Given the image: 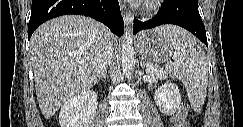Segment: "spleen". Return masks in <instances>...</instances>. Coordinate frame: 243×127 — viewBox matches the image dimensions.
I'll list each match as a JSON object with an SVG mask.
<instances>
[{
  "label": "spleen",
  "instance_id": "spleen-1",
  "mask_svg": "<svg viewBox=\"0 0 243 127\" xmlns=\"http://www.w3.org/2000/svg\"><path fill=\"white\" fill-rule=\"evenodd\" d=\"M163 33L171 40L173 62L166 64L167 71L180 79L186 87L190 103L196 110L202 108L208 85V62L197 40L186 30L166 26Z\"/></svg>",
  "mask_w": 243,
  "mask_h": 127
}]
</instances>
